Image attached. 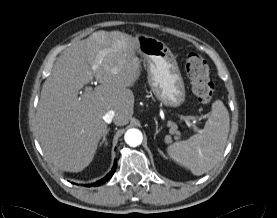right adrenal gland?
<instances>
[{"instance_id": "right-adrenal-gland-1", "label": "right adrenal gland", "mask_w": 277, "mask_h": 218, "mask_svg": "<svg viewBox=\"0 0 277 218\" xmlns=\"http://www.w3.org/2000/svg\"><path fill=\"white\" fill-rule=\"evenodd\" d=\"M109 131H110V128H108L107 131H106V133L104 134L103 139H102V141L100 142V146H102L103 144H104L105 146L108 145V142H107V140H106V136H107V134L109 133Z\"/></svg>"}]
</instances>
